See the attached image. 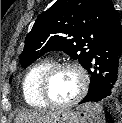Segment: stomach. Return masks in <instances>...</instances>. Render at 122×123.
Returning a JSON list of instances; mask_svg holds the SVG:
<instances>
[{
	"mask_svg": "<svg viewBox=\"0 0 122 123\" xmlns=\"http://www.w3.org/2000/svg\"><path fill=\"white\" fill-rule=\"evenodd\" d=\"M48 123H87V115L73 110L57 111Z\"/></svg>",
	"mask_w": 122,
	"mask_h": 123,
	"instance_id": "obj_1",
	"label": "stomach"
}]
</instances>
